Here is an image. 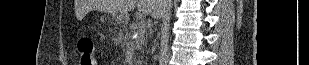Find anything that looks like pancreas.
<instances>
[{
    "mask_svg": "<svg viewBox=\"0 0 309 65\" xmlns=\"http://www.w3.org/2000/svg\"><path fill=\"white\" fill-rule=\"evenodd\" d=\"M141 19H136L132 22V24L130 25V31H129V36L131 37L133 34L136 33L137 29H139V26L141 25ZM146 26L144 29H139V35L138 38L134 41L135 43V48L137 50H141L143 49V47H145L146 45V38H145V34H146Z\"/></svg>",
    "mask_w": 309,
    "mask_h": 65,
    "instance_id": "1",
    "label": "pancreas"
}]
</instances>
